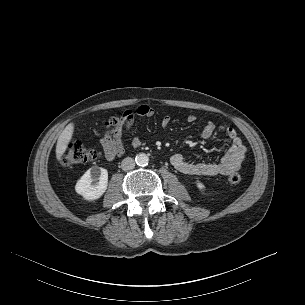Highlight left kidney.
Returning a JSON list of instances; mask_svg holds the SVG:
<instances>
[{"mask_svg": "<svg viewBox=\"0 0 305 305\" xmlns=\"http://www.w3.org/2000/svg\"><path fill=\"white\" fill-rule=\"evenodd\" d=\"M196 185H197V187H198L200 190H202V189L205 188L204 184H202L201 182H197Z\"/></svg>", "mask_w": 305, "mask_h": 305, "instance_id": "1", "label": "left kidney"}]
</instances>
